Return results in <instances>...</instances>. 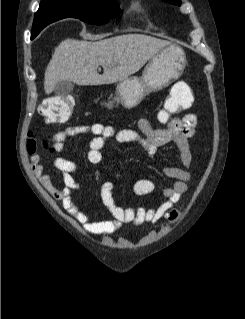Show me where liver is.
Returning <instances> with one entry per match:
<instances>
[{"label":"liver","mask_w":245,"mask_h":319,"mask_svg":"<svg viewBox=\"0 0 245 319\" xmlns=\"http://www.w3.org/2000/svg\"><path fill=\"white\" fill-rule=\"evenodd\" d=\"M169 41L144 34H125L90 42L62 41L54 50L45 70L44 90L52 93L58 82L104 85L120 82L139 71ZM102 66V75L97 73Z\"/></svg>","instance_id":"liver-1"}]
</instances>
